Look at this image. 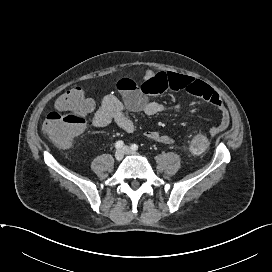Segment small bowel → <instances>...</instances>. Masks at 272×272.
<instances>
[{
  "mask_svg": "<svg viewBox=\"0 0 272 272\" xmlns=\"http://www.w3.org/2000/svg\"><path fill=\"white\" fill-rule=\"evenodd\" d=\"M117 88L122 99L113 94L104 97L100 107L93 114L92 123L95 127L103 128L114 122L125 132L131 133L134 131V124L126 111L144 113L149 116L162 113L166 108L151 100L150 96L169 90H183L206 101L219 111L221 120L218 125L211 128V135L221 133L229 125V113L219 94L208 84L189 76L147 70L143 73L140 82L123 77L118 80ZM175 109L182 111L183 106L178 105ZM145 136L162 144H171L174 141L170 135L156 131H148Z\"/></svg>",
  "mask_w": 272,
  "mask_h": 272,
  "instance_id": "small-bowel-1",
  "label": "small bowel"
}]
</instances>
